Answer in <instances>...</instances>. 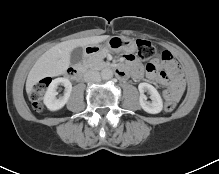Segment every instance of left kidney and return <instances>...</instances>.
Here are the masks:
<instances>
[{
	"mask_svg": "<svg viewBox=\"0 0 219 174\" xmlns=\"http://www.w3.org/2000/svg\"><path fill=\"white\" fill-rule=\"evenodd\" d=\"M140 92L139 103L144 111L150 114L160 113L163 109V102L160 94L156 88L148 83H140L138 85ZM144 92H149L151 102L147 101V97L144 95Z\"/></svg>",
	"mask_w": 219,
	"mask_h": 174,
	"instance_id": "5707ae66",
	"label": "left kidney"
}]
</instances>
